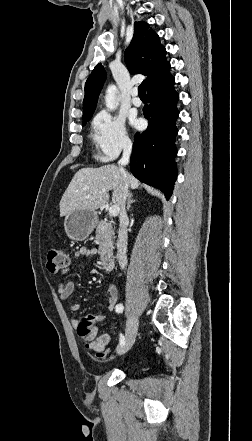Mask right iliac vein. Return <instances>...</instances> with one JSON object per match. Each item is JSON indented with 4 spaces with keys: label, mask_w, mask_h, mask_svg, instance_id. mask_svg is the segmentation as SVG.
<instances>
[{
    "label": "right iliac vein",
    "mask_w": 252,
    "mask_h": 441,
    "mask_svg": "<svg viewBox=\"0 0 252 441\" xmlns=\"http://www.w3.org/2000/svg\"><path fill=\"white\" fill-rule=\"evenodd\" d=\"M138 325H139V321L136 317H133L128 321L126 335H125V343L118 351L119 354H125L132 347L138 331Z\"/></svg>",
    "instance_id": "1"
}]
</instances>
